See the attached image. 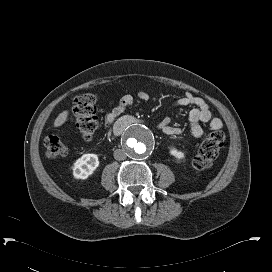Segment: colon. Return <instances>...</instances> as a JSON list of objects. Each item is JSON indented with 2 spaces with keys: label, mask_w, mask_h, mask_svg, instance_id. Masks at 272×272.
<instances>
[{
  "label": "colon",
  "mask_w": 272,
  "mask_h": 272,
  "mask_svg": "<svg viewBox=\"0 0 272 272\" xmlns=\"http://www.w3.org/2000/svg\"><path fill=\"white\" fill-rule=\"evenodd\" d=\"M98 98L95 93H83L74 99L73 115L79 133L84 139H90L98 128L99 118L97 109ZM225 141V134L221 130L211 133L201 144L193 165L197 170H204L211 166ZM46 153L50 158L63 157L67 154V147L61 136L50 133L45 137Z\"/></svg>",
  "instance_id": "5ec220e1"
}]
</instances>
